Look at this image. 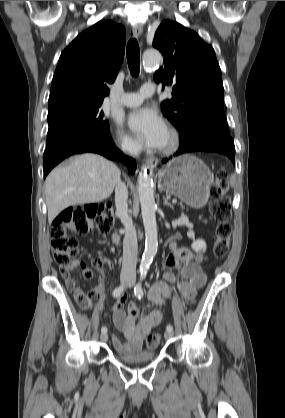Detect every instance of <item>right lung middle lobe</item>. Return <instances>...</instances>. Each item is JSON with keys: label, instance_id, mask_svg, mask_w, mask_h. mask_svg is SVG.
<instances>
[{"label": "right lung middle lobe", "instance_id": "right-lung-middle-lobe-1", "mask_svg": "<svg viewBox=\"0 0 285 418\" xmlns=\"http://www.w3.org/2000/svg\"><path fill=\"white\" fill-rule=\"evenodd\" d=\"M102 102L66 100L48 105L47 147L74 134L104 135L110 133L103 120Z\"/></svg>", "mask_w": 285, "mask_h": 418}]
</instances>
